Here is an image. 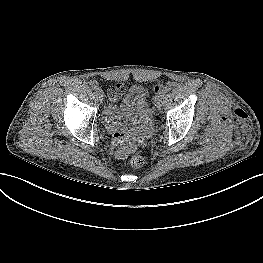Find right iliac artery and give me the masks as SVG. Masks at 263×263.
Returning a JSON list of instances; mask_svg holds the SVG:
<instances>
[{
    "label": "right iliac artery",
    "instance_id": "82829eb1",
    "mask_svg": "<svg viewBox=\"0 0 263 263\" xmlns=\"http://www.w3.org/2000/svg\"><path fill=\"white\" fill-rule=\"evenodd\" d=\"M92 90H93V91H99V90H100V87H99V86H93V87H92Z\"/></svg>",
    "mask_w": 263,
    "mask_h": 263
}]
</instances>
